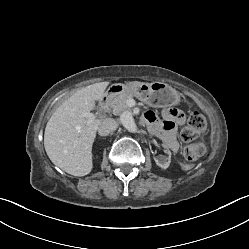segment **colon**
I'll use <instances>...</instances> for the list:
<instances>
[{"label": "colon", "mask_w": 249, "mask_h": 249, "mask_svg": "<svg viewBox=\"0 0 249 249\" xmlns=\"http://www.w3.org/2000/svg\"><path fill=\"white\" fill-rule=\"evenodd\" d=\"M207 127L205 117L199 112H192L188 118V124L181 130V139L189 143L184 149V158L188 162L198 160L205 152V147L201 142H194L198 135Z\"/></svg>", "instance_id": "obj_1"}]
</instances>
